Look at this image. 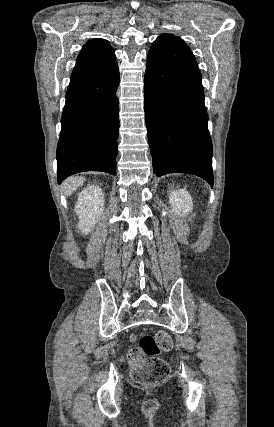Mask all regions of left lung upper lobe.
Masks as SVG:
<instances>
[{"instance_id":"obj_1","label":"left lung upper lobe","mask_w":274,"mask_h":427,"mask_svg":"<svg viewBox=\"0 0 274 427\" xmlns=\"http://www.w3.org/2000/svg\"><path fill=\"white\" fill-rule=\"evenodd\" d=\"M162 36H173V35H171V34H164V35H162Z\"/></svg>"}]
</instances>
